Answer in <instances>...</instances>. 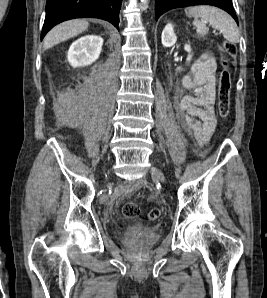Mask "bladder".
<instances>
[{"instance_id":"obj_1","label":"bladder","mask_w":267,"mask_h":298,"mask_svg":"<svg viewBox=\"0 0 267 298\" xmlns=\"http://www.w3.org/2000/svg\"><path fill=\"white\" fill-rule=\"evenodd\" d=\"M161 236V231L158 228H144L136 231L133 228L124 230L122 238L128 243H137L141 246L148 247L153 245Z\"/></svg>"}]
</instances>
